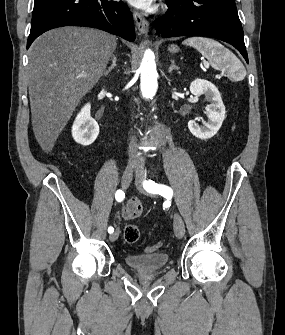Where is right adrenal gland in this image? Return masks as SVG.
Segmentation results:
<instances>
[{
    "instance_id": "obj_1",
    "label": "right adrenal gland",
    "mask_w": 285,
    "mask_h": 335,
    "mask_svg": "<svg viewBox=\"0 0 285 335\" xmlns=\"http://www.w3.org/2000/svg\"><path fill=\"white\" fill-rule=\"evenodd\" d=\"M111 62H112V64H111V66H109L108 70H106V72H104V76H108V74H110V72H112V70H114V68H116L117 60H116L115 56H112Z\"/></svg>"
}]
</instances>
